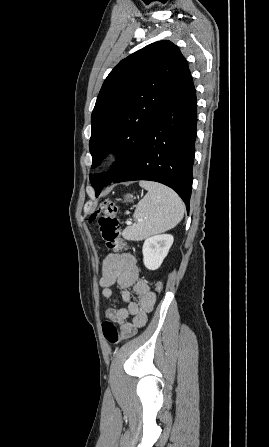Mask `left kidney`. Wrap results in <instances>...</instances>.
<instances>
[{
    "label": "left kidney",
    "instance_id": "left-kidney-1",
    "mask_svg": "<svg viewBox=\"0 0 269 447\" xmlns=\"http://www.w3.org/2000/svg\"><path fill=\"white\" fill-rule=\"evenodd\" d=\"M173 235L170 233H161V235H152L147 237L143 243V261L147 269H158L164 257H166L172 243Z\"/></svg>",
    "mask_w": 269,
    "mask_h": 447
}]
</instances>
